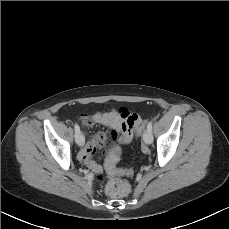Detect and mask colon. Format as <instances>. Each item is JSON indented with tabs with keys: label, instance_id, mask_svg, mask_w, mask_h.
I'll use <instances>...</instances> for the list:
<instances>
[{
	"label": "colon",
	"instance_id": "colon-1",
	"mask_svg": "<svg viewBox=\"0 0 229 229\" xmlns=\"http://www.w3.org/2000/svg\"><path fill=\"white\" fill-rule=\"evenodd\" d=\"M128 128L131 131H135L140 134L144 128V123L141 121L138 115L131 117L128 122ZM120 158V152L115 155V160L118 161ZM130 192V186L126 180L121 177H113L109 180L106 186V193L113 199H122L126 197Z\"/></svg>",
	"mask_w": 229,
	"mask_h": 229
}]
</instances>
